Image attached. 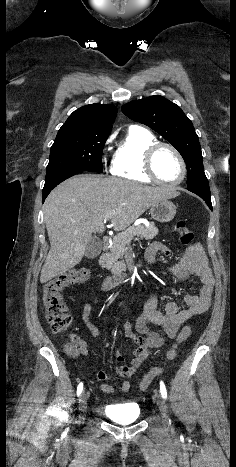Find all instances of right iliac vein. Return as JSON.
Instances as JSON below:
<instances>
[{
  "label": "right iliac vein",
  "instance_id": "63e3f726",
  "mask_svg": "<svg viewBox=\"0 0 236 467\" xmlns=\"http://www.w3.org/2000/svg\"><path fill=\"white\" fill-rule=\"evenodd\" d=\"M87 398H88V393L84 391L79 398V409L81 411H85L87 407ZM79 421H82V417L79 418Z\"/></svg>",
  "mask_w": 236,
  "mask_h": 467
}]
</instances>
